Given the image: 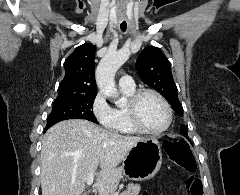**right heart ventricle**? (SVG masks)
I'll list each match as a JSON object with an SVG mask.
<instances>
[{"mask_svg":"<svg viewBox=\"0 0 240 195\" xmlns=\"http://www.w3.org/2000/svg\"><path fill=\"white\" fill-rule=\"evenodd\" d=\"M120 91L123 98L125 99V103L117 104L115 108L114 121L105 126L109 129V131H116L117 132L116 136H120L123 134H136L138 133V131L132 125L129 114H128V109H127L128 101L136 92V88L134 85L133 86L121 85ZM116 136H108V137H116Z\"/></svg>","mask_w":240,"mask_h":195,"instance_id":"e07e8e85","label":"right heart ventricle"}]
</instances>
